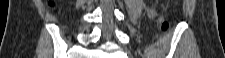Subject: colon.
Masks as SVG:
<instances>
[{
  "instance_id": "5ec220e1",
  "label": "colon",
  "mask_w": 225,
  "mask_h": 58,
  "mask_svg": "<svg viewBox=\"0 0 225 58\" xmlns=\"http://www.w3.org/2000/svg\"><path fill=\"white\" fill-rule=\"evenodd\" d=\"M50 6H51V7L53 6V3H52V2H50ZM167 28H168V23H167V22H163V23L161 24V30H162V31H165V30H167Z\"/></svg>"
}]
</instances>
